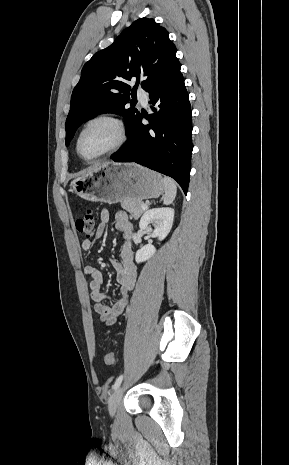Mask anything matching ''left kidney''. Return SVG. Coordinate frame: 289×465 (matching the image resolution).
<instances>
[{
  "mask_svg": "<svg viewBox=\"0 0 289 465\" xmlns=\"http://www.w3.org/2000/svg\"><path fill=\"white\" fill-rule=\"evenodd\" d=\"M174 220V209L172 208H153L147 210L140 219L139 227L141 230L149 232L153 238L163 240L170 232ZM153 226V229L151 226ZM156 252V248L147 244L136 252L135 261L137 263L150 259Z\"/></svg>",
  "mask_w": 289,
  "mask_h": 465,
  "instance_id": "1",
  "label": "left kidney"
}]
</instances>
